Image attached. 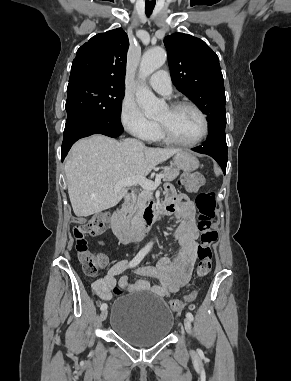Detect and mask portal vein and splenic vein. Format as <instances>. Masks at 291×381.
I'll return each mask as SVG.
<instances>
[{"label":"portal vein and splenic vein","mask_w":291,"mask_h":381,"mask_svg":"<svg viewBox=\"0 0 291 381\" xmlns=\"http://www.w3.org/2000/svg\"><path fill=\"white\" fill-rule=\"evenodd\" d=\"M164 177V174H159L154 182L146 179L145 177L125 178L116 183L115 190L136 184H139L143 189L146 190H155L160 185L161 179H164Z\"/></svg>","instance_id":"obj_1"}]
</instances>
